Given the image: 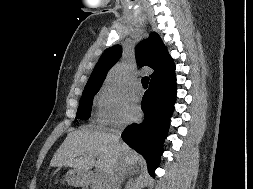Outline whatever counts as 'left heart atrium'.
Wrapping results in <instances>:
<instances>
[{
  "instance_id": "39dd6f15",
  "label": "left heart atrium",
  "mask_w": 253,
  "mask_h": 189,
  "mask_svg": "<svg viewBox=\"0 0 253 189\" xmlns=\"http://www.w3.org/2000/svg\"><path fill=\"white\" fill-rule=\"evenodd\" d=\"M124 112L127 119H137L140 116L138 101L136 99H129Z\"/></svg>"
}]
</instances>
